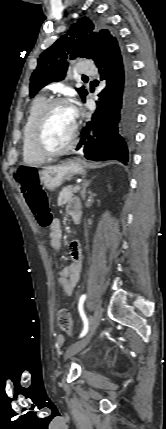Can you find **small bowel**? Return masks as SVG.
<instances>
[{
  "label": "small bowel",
  "instance_id": "small-bowel-1",
  "mask_svg": "<svg viewBox=\"0 0 166 429\" xmlns=\"http://www.w3.org/2000/svg\"><path fill=\"white\" fill-rule=\"evenodd\" d=\"M66 211L71 216L74 213L80 215V201L78 199H72L68 203ZM49 240L50 247L53 250H60L62 246V230L59 219H54L51 223ZM70 255L71 263L58 272V282L68 296L73 294L82 270V250L79 241L75 240L71 242ZM56 340L59 345L65 343V337L62 334H58Z\"/></svg>",
  "mask_w": 166,
  "mask_h": 429
}]
</instances>
